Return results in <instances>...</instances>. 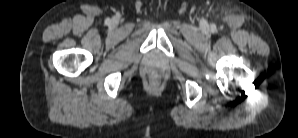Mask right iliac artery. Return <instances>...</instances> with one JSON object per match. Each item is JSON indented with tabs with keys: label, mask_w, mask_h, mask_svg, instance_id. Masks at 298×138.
<instances>
[{
	"label": "right iliac artery",
	"mask_w": 298,
	"mask_h": 138,
	"mask_svg": "<svg viewBox=\"0 0 298 138\" xmlns=\"http://www.w3.org/2000/svg\"><path fill=\"white\" fill-rule=\"evenodd\" d=\"M109 22H110V20H109V19H107V20H106V23H109Z\"/></svg>",
	"instance_id": "1"
}]
</instances>
